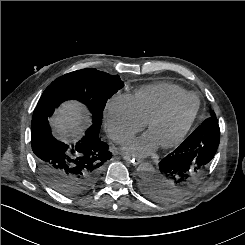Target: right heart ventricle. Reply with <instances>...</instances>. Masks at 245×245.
I'll use <instances>...</instances> for the list:
<instances>
[{"instance_id": "e07e8e85", "label": "right heart ventricle", "mask_w": 245, "mask_h": 245, "mask_svg": "<svg viewBox=\"0 0 245 245\" xmlns=\"http://www.w3.org/2000/svg\"><path fill=\"white\" fill-rule=\"evenodd\" d=\"M188 94V91L178 85L157 83L139 88L132 97L139 117L146 123L170 102Z\"/></svg>"}]
</instances>
